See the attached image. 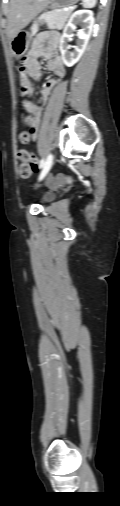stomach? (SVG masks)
<instances>
[{
  "label": "stomach",
  "mask_w": 120,
  "mask_h": 506,
  "mask_svg": "<svg viewBox=\"0 0 120 506\" xmlns=\"http://www.w3.org/2000/svg\"><path fill=\"white\" fill-rule=\"evenodd\" d=\"M79 0H50V8H66L75 5ZM32 35L27 31L18 32L13 39L10 40V47L15 58L19 59L28 51Z\"/></svg>",
  "instance_id": "stomach-1"
}]
</instances>
